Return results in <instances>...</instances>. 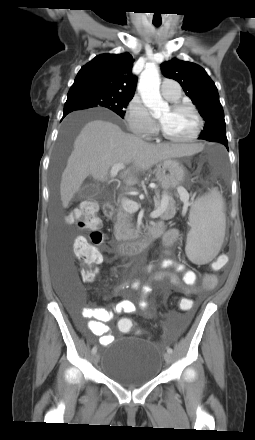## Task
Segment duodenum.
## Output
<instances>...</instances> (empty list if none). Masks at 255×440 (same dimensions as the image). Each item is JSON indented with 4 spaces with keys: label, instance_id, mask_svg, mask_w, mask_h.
Here are the masks:
<instances>
[{
    "label": "duodenum",
    "instance_id": "410a0bca",
    "mask_svg": "<svg viewBox=\"0 0 255 440\" xmlns=\"http://www.w3.org/2000/svg\"><path fill=\"white\" fill-rule=\"evenodd\" d=\"M103 212L106 217H112L115 213V206L111 202H105ZM163 231L158 225L145 228L142 234L135 240L122 241L118 244V251L122 255H133L144 251Z\"/></svg>",
    "mask_w": 255,
    "mask_h": 440
}]
</instances>
